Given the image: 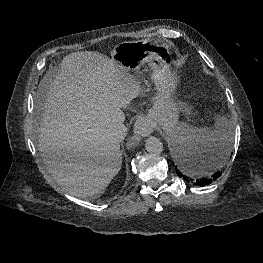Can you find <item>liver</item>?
I'll use <instances>...</instances> for the list:
<instances>
[{
  "instance_id": "1",
  "label": "liver",
  "mask_w": 263,
  "mask_h": 263,
  "mask_svg": "<svg viewBox=\"0 0 263 263\" xmlns=\"http://www.w3.org/2000/svg\"><path fill=\"white\" fill-rule=\"evenodd\" d=\"M40 86L47 99L38 149L48 171L76 197L103 194L122 165L111 125L124 120L121 108L141 94L140 82L106 55L81 51L65 56Z\"/></svg>"
}]
</instances>
